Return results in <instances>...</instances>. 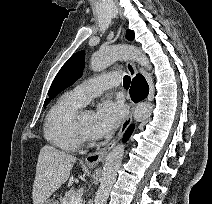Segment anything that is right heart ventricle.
<instances>
[{"mask_svg":"<svg viewBox=\"0 0 212 204\" xmlns=\"http://www.w3.org/2000/svg\"><path fill=\"white\" fill-rule=\"evenodd\" d=\"M82 106L71 93L58 98L48 111L44 122L43 133L49 144L67 152H74L79 148L73 121Z\"/></svg>","mask_w":212,"mask_h":204,"instance_id":"1","label":"right heart ventricle"}]
</instances>
